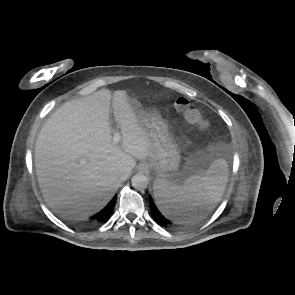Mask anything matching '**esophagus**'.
<instances>
[{"label": "esophagus", "mask_w": 295, "mask_h": 295, "mask_svg": "<svg viewBox=\"0 0 295 295\" xmlns=\"http://www.w3.org/2000/svg\"><path fill=\"white\" fill-rule=\"evenodd\" d=\"M139 169H140L141 171L145 172V171H147L148 166H147L146 164H141V165L139 166Z\"/></svg>", "instance_id": "obj_1"}]
</instances>
